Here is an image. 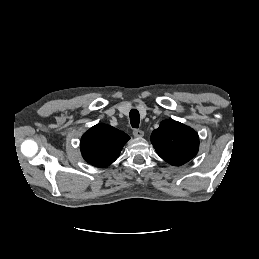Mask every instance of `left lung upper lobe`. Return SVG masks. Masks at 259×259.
Segmentation results:
<instances>
[{"instance_id": "obj_1", "label": "left lung upper lobe", "mask_w": 259, "mask_h": 259, "mask_svg": "<svg viewBox=\"0 0 259 259\" xmlns=\"http://www.w3.org/2000/svg\"><path fill=\"white\" fill-rule=\"evenodd\" d=\"M151 142L158 155L174 166L191 160L199 148L198 134L175 120L162 121L159 128L152 132Z\"/></svg>"}]
</instances>
